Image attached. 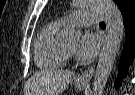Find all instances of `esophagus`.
Returning <instances> with one entry per match:
<instances>
[{
    "label": "esophagus",
    "mask_w": 135,
    "mask_h": 95,
    "mask_svg": "<svg viewBox=\"0 0 135 95\" xmlns=\"http://www.w3.org/2000/svg\"><path fill=\"white\" fill-rule=\"evenodd\" d=\"M94 68L90 67L86 69L82 74L77 77L78 82L88 83L93 75Z\"/></svg>",
    "instance_id": "1"
}]
</instances>
